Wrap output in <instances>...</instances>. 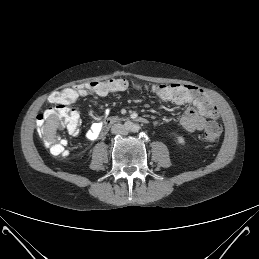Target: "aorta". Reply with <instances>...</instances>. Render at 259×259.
I'll use <instances>...</instances> for the list:
<instances>
[{
  "label": "aorta",
  "mask_w": 259,
  "mask_h": 259,
  "mask_svg": "<svg viewBox=\"0 0 259 259\" xmlns=\"http://www.w3.org/2000/svg\"><path fill=\"white\" fill-rule=\"evenodd\" d=\"M139 125L138 124H134V123H131L128 127V129L132 132H137L139 130Z\"/></svg>",
  "instance_id": "762f6f07"
}]
</instances>
